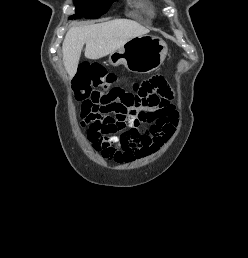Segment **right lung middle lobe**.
<instances>
[{
	"label": "right lung middle lobe",
	"instance_id": "dd1d6c3e",
	"mask_svg": "<svg viewBox=\"0 0 248 258\" xmlns=\"http://www.w3.org/2000/svg\"><path fill=\"white\" fill-rule=\"evenodd\" d=\"M115 0H74L76 5V14L70 16L69 19L99 18L106 13L110 5Z\"/></svg>",
	"mask_w": 248,
	"mask_h": 258
}]
</instances>
